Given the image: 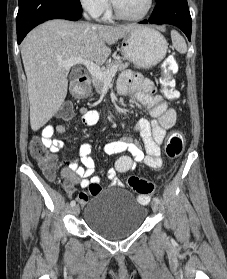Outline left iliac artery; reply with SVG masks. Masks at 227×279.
<instances>
[{"instance_id":"44dca946","label":"left iliac artery","mask_w":227,"mask_h":279,"mask_svg":"<svg viewBox=\"0 0 227 279\" xmlns=\"http://www.w3.org/2000/svg\"><path fill=\"white\" fill-rule=\"evenodd\" d=\"M153 201L159 203V202H160V199H159L158 197H155V198L153 199Z\"/></svg>"}]
</instances>
